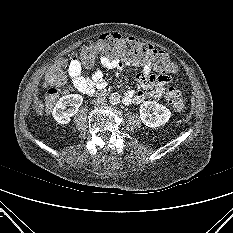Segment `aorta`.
Here are the masks:
<instances>
[{
  "instance_id": "1",
  "label": "aorta",
  "mask_w": 233,
  "mask_h": 233,
  "mask_svg": "<svg viewBox=\"0 0 233 233\" xmlns=\"http://www.w3.org/2000/svg\"><path fill=\"white\" fill-rule=\"evenodd\" d=\"M109 102L112 104V105H116L120 102V95L118 93H112L109 97Z\"/></svg>"
}]
</instances>
